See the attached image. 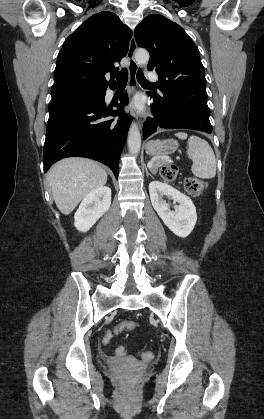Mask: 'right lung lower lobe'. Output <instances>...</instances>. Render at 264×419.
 Wrapping results in <instances>:
<instances>
[{"mask_svg": "<svg viewBox=\"0 0 264 419\" xmlns=\"http://www.w3.org/2000/svg\"><path fill=\"white\" fill-rule=\"evenodd\" d=\"M105 91L96 96L50 101L43 152L45 171L62 158L80 156L107 165L118 177L120 153L131 123V117L120 109L127 105L128 96L124 93L115 105L118 109L112 110L105 104ZM111 116L119 118L108 119Z\"/></svg>", "mask_w": 264, "mask_h": 419, "instance_id": "right-lung-lower-lobe-1", "label": "right lung lower lobe"}]
</instances>
